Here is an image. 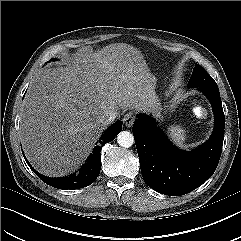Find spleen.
I'll return each mask as SVG.
<instances>
[{"mask_svg":"<svg viewBox=\"0 0 241 241\" xmlns=\"http://www.w3.org/2000/svg\"><path fill=\"white\" fill-rule=\"evenodd\" d=\"M167 132H168L169 138L176 146H178L179 148H185L187 146L185 143L186 141L185 130L181 126L179 125L170 126Z\"/></svg>","mask_w":241,"mask_h":241,"instance_id":"obj_1","label":"spleen"}]
</instances>
